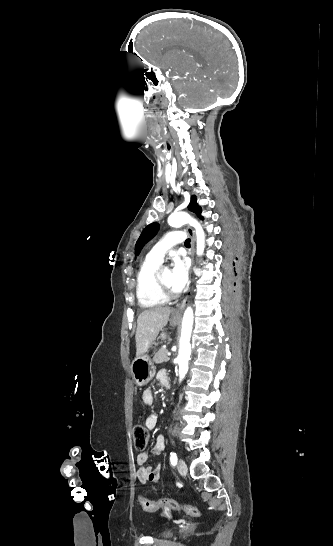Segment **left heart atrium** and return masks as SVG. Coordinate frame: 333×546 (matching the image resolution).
Listing matches in <instances>:
<instances>
[{
	"label": "left heart atrium",
	"mask_w": 333,
	"mask_h": 546,
	"mask_svg": "<svg viewBox=\"0 0 333 546\" xmlns=\"http://www.w3.org/2000/svg\"><path fill=\"white\" fill-rule=\"evenodd\" d=\"M172 287L174 291L180 292L188 280L187 262L179 256H174L171 270Z\"/></svg>",
	"instance_id": "left-heart-atrium-1"
}]
</instances>
